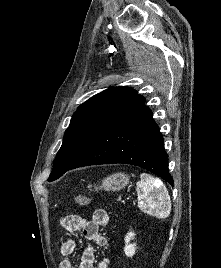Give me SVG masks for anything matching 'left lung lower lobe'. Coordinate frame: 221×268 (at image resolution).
<instances>
[{"label":"left lung lower lobe","instance_id":"0a47b994","mask_svg":"<svg viewBox=\"0 0 221 268\" xmlns=\"http://www.w3.org/2000/svg\"><path fill=\"white\" fill-rule=\"evenodd\" d=\"M164 139L145 103L116 119L66 170L77 167L123 163L142 167L173 186Z\"/></svg>","mask_w":221,"mask_h":268}]
</instances>
